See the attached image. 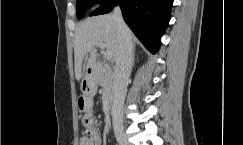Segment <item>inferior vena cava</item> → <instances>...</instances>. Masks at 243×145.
Returning a JSON list of instances; mask_svg holds the SVG:
<instances>
[{
	"instance_id": "obj_1",
	"label": "inferior vena cava",
	"mask_w": 243,
	"mask_h": 145,
	"mask_svg": "<svg viewBox=\"0 0 243 145\" xmlns=\"http://www.w3.org/2000/svg\"><path fill=\"white\" fill-rule=\"evenodd\" d=\"M114 18L118 27L119 49L116 57L114 72V96L112 114L122 122L123 105L127 92L129 76L132 70V41L129 28L125 24L119 7L113 11Z\"/></svg>"
}]
</instances>
